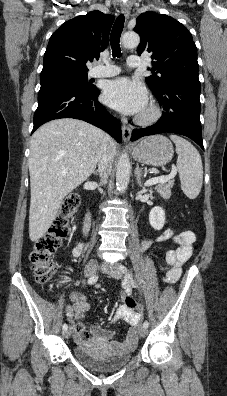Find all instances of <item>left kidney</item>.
Listing matches in <instances>:
<instances>
[{
	"instance_id": "obj_1",
	"label": "left kidney",
	"mask_w": 227,
	"mask_h": 396,
	"mask_svg": "<svg viewBox=\"0 0 227 396\" xmlns=\"http://www.w3.org/2000/svg\"><path fill=\"white\" fill-rule=\"evenodd\" d=\"M149 222L155 230H161L165 224V212L157 206L151 209L149 213Z\"/></svg>"
}]
</instances>
